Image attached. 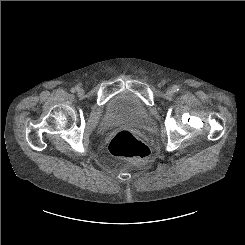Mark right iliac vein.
Wrapping results in <instances>:
<instances>
[{"label": "right iliac vein", "instance_id": "obj_1", "mask_svg": "<svg viewBox=\"0 0 245 245\" xmlns=\"http://www.w3.org/2000/svg\"><path fill=\"white\" fill-rule=\"evenodd\" d=\"M84 89L78 88V95L83 96L84 95Z\"/></svg>", "mask_w": 245, "mask_h": 245}]
</instances>
